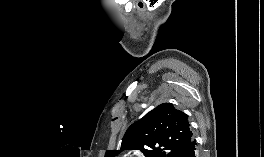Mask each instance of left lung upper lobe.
Instances as JSON below:
<instances>
[{
    "label": "left lung upper lobe",
    "instance_id": "5c2ea615",
    "mask_svg": "<svg viewBox=\"0 0 264 157\" xmlns=\"http://www.w3.org/2000/svg\"><path fill=\"white\" fill-rule=\"evenodd\" d=\"M192 140L188 116L171 103H163L133 123L120 150H107L105 157H115L121 150H139L146 157H184Z\"/></svg>",
    "mask_w": 264,
    "mask_h": 157
}]
</instances>
